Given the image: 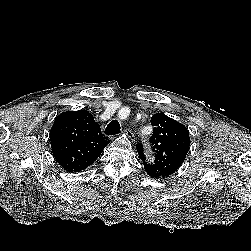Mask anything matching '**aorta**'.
Listing matches in <instances>:
<instances>
[{
	"instance_id": "762f6f07",
	"label": "aorta",
	"mask_w": 251,
	"mask_h": 251,
	"mask_svg": "<svg viewBox=\"0 0 251 251\" xmlns=\"http://www.w3.org/2000/svg\"><path fill=\"white\" fill-rule=\"evenodd\" d=\"M141 138H146V136L144 134H140Z\"/></svg>"
}]
</instances>
